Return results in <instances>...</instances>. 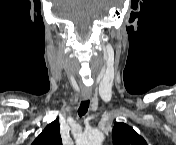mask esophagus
I'll use <instances>...</instances> for the list:
<instances>
[{
	"label": "esophagus",
	"instance_id": "1",
	"mask_svg": "<svg viewBox=\"0 0 176 145\" xmlns=\"http://www.w3.org/2000/svg\"><path fill=\"white\" fill-rule=\"evenodd\" d=\"M83 98H84L85 100H87V99H89V96H88V95H84Z\"/></svg>",
	"mask_w": 176,
	"mask_h": 145
}]
</instances>
